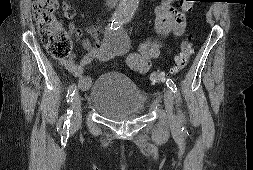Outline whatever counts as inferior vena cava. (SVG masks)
I'll return each instance as SVG.
<instances>
[{
	"label": "inferior vena cava",
	"instance_id": "1",
	"mask_svg": "<svg viewBox=\"0 0 253 170\" xmlns=\"http://www.w3.org/2000/svg\"><path fill=\"white\" fill-rule=\"evenodd\" d=\"M115 3H116V0H107V5L108 6L113 7V6H115Z\"/></svg>",
	"mask_w": 253,
	"mask_h": 170
}]
</instances>
